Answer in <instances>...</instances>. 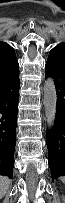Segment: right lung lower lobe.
I'll list each match as a JSON object with an SVG mask.
<instances>
[{
	"instance_id": "right-lung-lower-lobe-1",
	"label": "right lung lower lobe",
	"mask_w": 65,
	"mask_h": 203,
	"mask_svg": "<svg viewBox=\"0 0 65 203\" xmlns=\"http://www.w3.org/2000/svg\"><path fill=\"white\" fill-rule=\"evenodd\" d=\"M19 69L0 71V175L12 178L19 100Z\"/></svg>"
}]
</instances>
